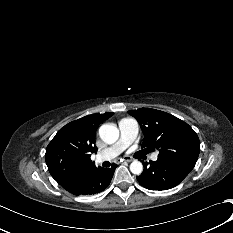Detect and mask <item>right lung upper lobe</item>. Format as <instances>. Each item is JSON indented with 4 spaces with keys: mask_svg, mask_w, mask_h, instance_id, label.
<instances>
[{
    "mask_svg": "<svg viewBox=\"0 0 233 233\" xmlns=\"http://www.w3.org/2000/svg\"><path fill=\"white\" fill-rule=\"evenodd\" d=\"M113 113L92 114L62 127L46 148L45 160L52 177L68 192L75 193L88 174L96 169L91 153L96 152L98 126Z\"/></svg>",
    "mask_w": 233,
    "mask_h": 233,
    "instance_id": "right-lung-upper-lobe-1",
    "label": "right lung upper lobe"
}]
</instances>
